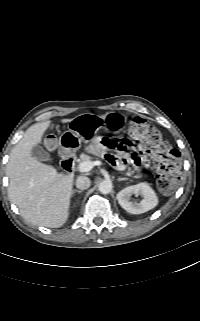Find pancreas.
<instances>
[{
    "mask_svg": "<svg viewBox=\"0 0 200 321\" xmlns=\"http://www.w3.org/2000/svg\"><path fill=\"white\" fill-rule=\"evenodd\" d=\"M93 159H94V157H92V156H89V155H86V154H81L80 155V159L78 161L80 163H82V162H86V161H92ZM126 174L128 176H132L134 174V171H128ZM140 177H142L141 174L135 175V178H140Z\"/></svg>",
    "mask_w": 200,
    "mask_h": 321,
    "instance_id": "obj_1",
    "label": "pancreas"
}]
</instances>
